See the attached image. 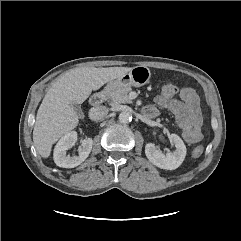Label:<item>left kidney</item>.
I'll return each mask as SVG.
<instances>
[{"label": "left kidney", "mask_w": 241, "mask_h": 241, "mask_svg": "<svg viewBox=\"0 0 241 241\" xmlns=\"http://www.w3.org/2000/svg\"><path fill=\"white\" fill-rule=\"evenodd\" d=\"M169 139L174 143L176 147L175 151L164 154L153 143H147L145 146V154L148 160L155 166L161 169L174 170L184 161L186 146L176 134H171Z\"/></svg>", "instance_id": "1"}]
</instances>
